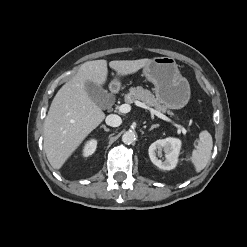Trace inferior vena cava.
I'll list each match as a JSON object with an SVG mask.
<instances>
[{"mask_svg":"<svg viewBox=\"0 0 247 247\" xmlns=\"http://www.w3.org/2000/svg\"><path fill=\"white\" fill-rule=\"evenodd\" d=\"M122 123V119L120 116L116 114H110L106 117V124L111 127H118Z\"/></svg>","mask_w":247,"mask_h":247,"instance_id":"602c4592","label":"inferior vena cava"}]
</instances>
